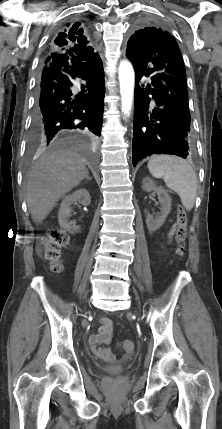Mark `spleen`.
Here are the masks:
<instances>
[{
    "instance_id": "obj_1",
    "label": "spleen",
    "mask_w": 222,
    "mask_h": 429,
    "mask_svg": "<svg viewBox=\"0 0 222 429\" xmlns=\"http://www.w3.org/2000/svg\"><path fill=\"white\" fill-rule=\"evenodd\" d=\"M147 167L152 176L163 178L166 185L179 195L186 210L193 208L197 194V177L185 160L177 156L155 155L149 160Z\"/></svg>"
}]
</instances>
